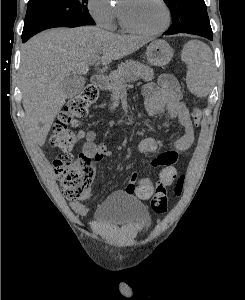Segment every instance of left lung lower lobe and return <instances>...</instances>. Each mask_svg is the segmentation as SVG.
<instances>
[{
    "instance_id": "1",
    "label": "left lung lower lobe",
    "mask_w": 245,
    "mask_h": 300,
    "mask_svg": "<svg viewBox=\"0 0 245 300\" xmlns=\"http://www.w3.org/2000/svg\"><path fill=\"white\" fill-rule=\"evenodd\" d=\"M178 33H188V34H195V35H198V36H202V37H205V38H208L209 40H212V36H213V33L212 32H193V31H182V32H178ZM165 35H171V34H168V33H164ZM177 34V33H175Z\"/></svg>"
}]
</instances>
